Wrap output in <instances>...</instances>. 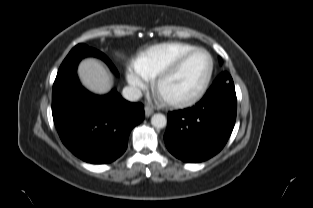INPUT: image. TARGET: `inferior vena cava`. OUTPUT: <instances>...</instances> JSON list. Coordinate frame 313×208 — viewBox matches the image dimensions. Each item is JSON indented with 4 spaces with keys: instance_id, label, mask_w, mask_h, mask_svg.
<instances>
[{
    "instance_id": "1",
    "label": "inferior vena cava",
    "mask_w": 313,
    "mask_h": 208,
    "mask_svg": "<svg viewBox=\"0 0 313 208\" xmlns=\"http://www.w3.org/2000/svg\"><path fill=\"white\" fill-rule=\"evenodd\" d=\"M122 96L128 101H137L142 97V91L135 86H126L123 88Z\"/></svg>"
}]
</instances>
